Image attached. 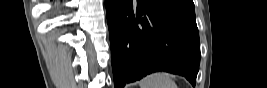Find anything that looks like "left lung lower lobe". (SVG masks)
Returning <instances> with one entry per match:
<instances>
[{"label":"left lung lower lobe","instance_id":"1","mask_svg":"<svg viewBox=\"0 0 267 88\" xmlns=\"http://www.w3.org/2000/svg\"><path fill=\"white\" fill-rule=\"evenodd\" d=\"M114 87L155 71L195 86L200 63L194 9L170 0H106Z\"/></svg>","mask_w":267,"mask_h":88}]
</instances>
